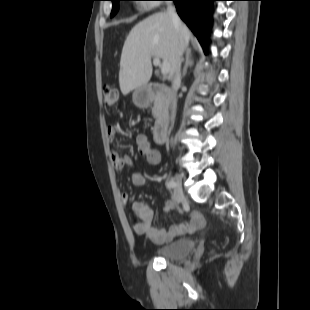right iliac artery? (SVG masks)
Returning <instances> with one entry per match:
<instances>
[{
	"instance_id": "right-iliac-artery-1",
	"label": "right iliac artery",
	"mask_w": 310,
	"mask_h": 310,
	"mask_svg": "<svg viewBox=\"0 0 310 310\" xmlns=\"http://www.w3.org/2000/svg\"><path fill=\"white\" fill-rule=\"evenodd\" d=\"M166 186H167V188L171 189V188H174L176 186V183L174 180H169L166 182Z\"/></svg>"
}]
</instances>
